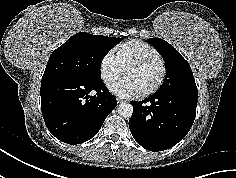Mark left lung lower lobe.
Masks as SVG:
<instances>
[{
    "instance_id": "left-lung-lower-lobe-1",
    "label": "left lung lower lobe",
    "mask_w": 236,
    "mask_h": 178,
    "mask_svg": "<svg viewBox=\"0 0 236 178\" xmlns=\"http://www.w3.org/2000/svg\"><path fill=\"white\" fill-rule=\"evenodd\" d=\"M197 98V94L167 92L132 101L129 129L136 142L154 152L175 146L192 127Z\"/></svg>"
}]
</instances>
